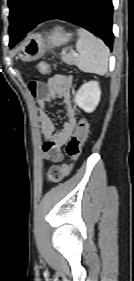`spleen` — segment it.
I'll use <instances>...</instances> for the list:
<instances>
[{"instance_id":"1","label":"spleen","mask_w":134,"mask_h":281,"mask_svg":"<svg viewBox=\"0 0 134 281\" xmlns=\"http://www.w3.org/2000/svg\"><path fill=\"white\" fill-rule=\"evenodd\" d=\"M77 32L79 35L76 43L79 53L76 59L77 67L87 73L106 74L109 58L108 47L101 39L83 28L78 29Z\"/></svg>"}]
</instances>
